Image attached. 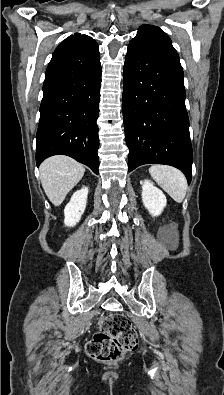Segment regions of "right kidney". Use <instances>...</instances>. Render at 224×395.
Segmentation results:
<instances>
[{"instance_id":"1","label":"right kidney","mask_w":224,"mask_h":395,"mask_svg":"<svg viewBox=\"0 0 224 395\" xmlns=\"http://www.w3.org/2000/svg\"><path fill=\"white\" fill-rule=\"evenodd\" d=\"M87 196V187H83L72 195L70 202L65 206L64 209L65 226L73 227L80 221L81 216L86 208Z\"/></svg>"}]
</instances>
